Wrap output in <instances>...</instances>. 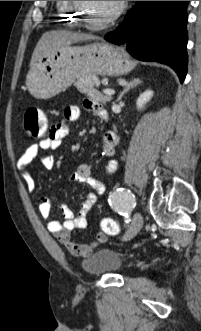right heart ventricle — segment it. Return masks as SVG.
I'll list each match as a JSON object with an SVG mask.
<instances>
[{"instance_id": "1", "label": "right heart ventricle", "mask_w": 201, "mask_h": 331, "mask_svg": "<svg viewBox=\"0 0 201 331\" xmlns=\"http://www.w3.org/2000/svg\"><path fill=\"white\" fill-rule=\"evenodd\" d=\"M56 7L59 12V18L62 22H65L66 26L77 25V14L72 8V1H56Z\"/></svg>"}]
</instances>
